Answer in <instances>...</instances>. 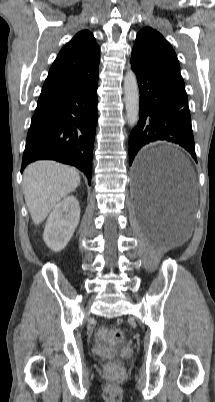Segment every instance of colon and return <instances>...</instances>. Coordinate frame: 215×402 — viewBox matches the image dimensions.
Masks as SVG:
<instances>
[{"mask_svg":"<svg viewBox=\"0 0 215 402\" xmlns=\"http://www.w3.org/2000/svg\"><path fill=\"white\" fill-rule=\"evenodd\" d=\"M98 336L111 345H116L123 340V332L120 329H106L101 327L98 329ZM106 370L110 376H116L120 373L121 366L118 362H110Z\"/></svg>","mask_w":215,"mask_h":402,"instance_id":"1","label":"colon"}]
</instances>
